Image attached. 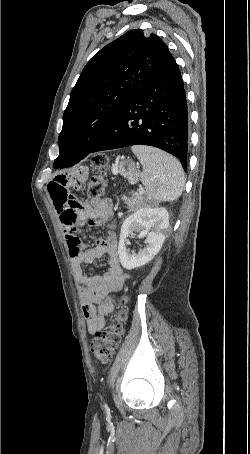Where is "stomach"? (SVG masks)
Returning <instances> with one entry per match:
<instances>
[{"label":"stomach","instance_id":"0dacf381","mask_svg":"<svg viewBox=\"0 0 250 454\" xmlns=\"http://www.w3.org/2000/svg\"><path fill=\"white\" fill-rule=\"evenodd\" d=\"M117 172L127 178L131 183L138 181L140 173L135 169V164L130 160H124L117 165Z\"/></svg>","mask_w":250,"mask_h":454}]
</instances>
